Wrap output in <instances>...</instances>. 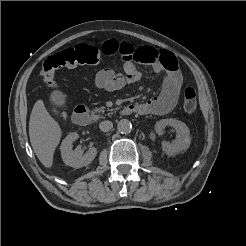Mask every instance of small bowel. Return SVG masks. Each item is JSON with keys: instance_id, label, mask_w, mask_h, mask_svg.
Returning a JSON list of instances; mask_svg holds the SVG:
<instances>
[{"instance_id": "c3829d8e", "label": "small bowel", "mask_w": 246, "mask_h": 246, "mask_svg": "<svg viewBox=\"0 0 246 246\" xmlns=\"http://www.w3.org/2000/svg\"><path fill=\"white\" fill-rule=\"evenodd\" d=\"M100 51L105 55H120L123 60V72L113 68L99 71L95 78L98 88L106 91H116L128 84L138 82L142 74L136 68L135 61L151 66L155 73H164L162 89L159 95L137 104L139 114L165 115L176 106L183 84L176 56L167 50L153 47L134 48L130 43L106 40Z\"/></svg>"}]
</instances>
